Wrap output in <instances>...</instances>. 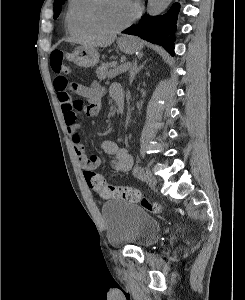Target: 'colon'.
<instances>
[{
	"instance_id": "obj_1",
	"label": "colon",
	"mask_w": 245,
	"mask_h": 300,
	"mask_svg": "<svg viewBox=\"0 0 245 300\" xmlns=\"http://www.w3.org/2000/svg\"><path fill=\"white\" fill-rule=\"evenodd\" d=\"M65 59L66 56L61 51H53L50 56V65L52 70L62 77H65V75L69 72ZM74 106L76 109L80 110L83 108L84 103L80 100H76L74 102ZM86 181L91 189L99 193L104 198L140 203L144 208L153 213H160L163 211L161 205L144 197L141 191L137 188L108 184L104 177L98 173H89Z\"/></svg>"
}]
</instances>
